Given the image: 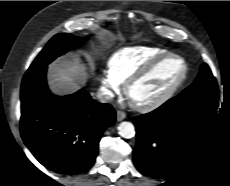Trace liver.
I'll return each instance as SVG.
<instances>
[{
    "instance_id": "obj_1",
    "label": "liver",
    "mask_w": 230,
    "mask_h": 186,
    "mask_svg": "<svg viewBox=\"0 0 230 186\" xmlns=\"http://www.w3.org/2000/svg\"><path fill=\"white\" fill-rule=\"evenodd\" d=\"M87 76L86 67L78 60H60L50 67L49 81L55 90L75 91Z\"/></svg>"
}]
</instances>
